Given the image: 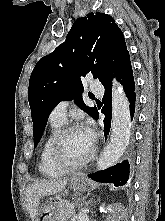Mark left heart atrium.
Masks as SVG:
<instances>
[{
  "label": "left heart atrium",
  "instance_id": "1",
  "mask_svg": "<svg viewBox=\"0 0 165 221\" xmlns=\"http://www.w3.org/2000/svg\"><path fill=\"white\" fill-rule=\"evenodd\" d=\"M83 132L85 135L90 139L91 142L94 140V129L93 125L90 121H86L82 127Z\"/></svg>",
  "mask_w": 165,
  "mask_h": 221
}]
</instances>
